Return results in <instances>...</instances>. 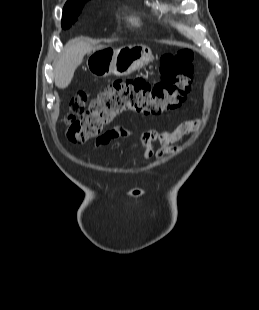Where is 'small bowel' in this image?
<instances>
[{
	"label": "small bowel",
	"mask_w": 259,
	"mask_h": 310,
	"mask_svg": "<svg viewBox=\"0 0 259 310\" xmlns=\"http://www.w3.org/2000/svg\"><path fill=\"white\" fill-rule=\"evenodd\" d=\"M200 126V119H191L182 121L171 131L159 132L155 129H151L143 133L137 140L129 142L127 147L133 149L141 148L143 150L142 158L145 160L153 156L157 159H161L175 150L173 147L174 143L185 135L198 130ZM118 138L129 140L131 139V135L124 127L116 126L97 139L93 144V148L99 150ZM154 142L160 143V148L156 152L153 149ZM122 147L123 145L121 144H115L112 146L111 151L118 150Z\"/></svg>",
	"instance_id": "c3829d8e"
}]
</instances>
